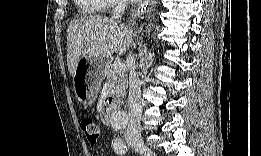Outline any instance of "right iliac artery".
<instances>
[{"mask_svg":"<svg viewBox=\"0 0 261 156\" xmlns=\"http://www.w3.org/2000/svg\"><path fill=\"white\" fill-rule=\"evenodd\" d=\"M112 146L114 151L119 155H123L127 151V147L121 139H115L112 141Z\"/></svg>","mask_w":261,"mask_h":156,"instance_id":"right-iliac-artery-1","label":"right iliac artery"}]
</instances>
